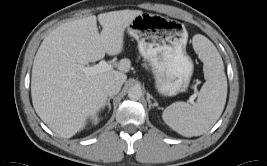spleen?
<instances>
[{"instance_id":"spleen-1","label":"spleen","mask_w":267,"mask_h":166,"mask_svg":"<svg viewBox=\"0 0 267 166\" xmlns=\"http://www.w3.org/2000/svg\"><path fill=\"white\" fill-rule=\"evenodd\" d=\"M194 48L204 63L206 82L196 103L175 102L168 106L162 118L174 131L185 137L206 133L221 116L227 97V78L222 58L216 47L205 37L194 39Z\"/></svg>"}]
</instances>
